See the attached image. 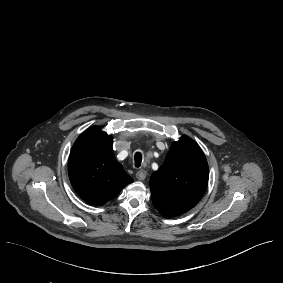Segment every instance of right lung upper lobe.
<instances>
[{
	"instance_id": "1",
	"label": "right lung upper lobe",
	"mask_w": 283,
	"mask_h": 283,
	"mask_svg": "<svg viewBox=\"0 0 283 283\" xmlns=\"http://www.w3.org/2000/svg\"><path fill=\"white\" fill-rule=\"evenodd\" d=\"M112 139L98 126H93L78 137L70 152L68 172L71 184L91 205L105 204L133 181L116 161Z\"/></svg>"
}]
</instances>
